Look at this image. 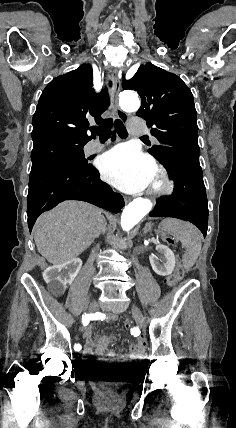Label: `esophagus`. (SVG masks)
<instances>
[{"label":"esophagus","mask_w":236,"mask_h":428,"mask_svg":"<svg viewBox=\"0 0 236 428\" xmlns=\"http://www.w3.org/2000/svg\"><path fill=\"white\" fill-rule=\"evenodd\" d=\"M112 78L114 81V89L112 94V107L117 115V117L123 122L126 123L128 121V116L123 110L120 109L118 105V96L121 89V81L119 78L118 71L116 69L112 70Z\"/></svg>","instance_id":"esophagus-1"}]
</instances>
